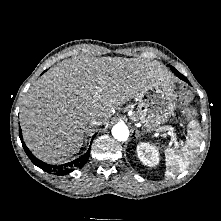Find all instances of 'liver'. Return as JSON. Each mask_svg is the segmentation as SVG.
<instances>
[{
  "label": "liver",
  "mask_w": 221,
  "mask_h": 221,
  "mask_svg": "<svg viewBox=\"0 0 221 221\" xmlns=\"http://www.w3.org/2000/svg\"><path fill=\"white\" fill-rule=\"evenodd\" d=\"M156 61L89 56L56 64L30 88L20 109L27 147L58 164L78 153L92 118L106 125L113 110L156 80H167Z\"/></svg>",
  "instance_id": "1"
}]
</instances>
